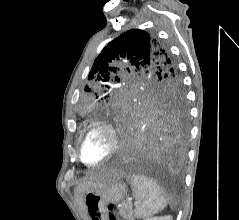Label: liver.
I'll use <instances>...</instances> for the list:
<instances>
[{
	"label": "liver",
	"mask_w": 239,
	"mask_h": 220,
	"mask_svg": "<svg viewBox=\"0 0 239 220\" xmlns=\"http://www.w3.org/2000/svg\"><path fill=\"white\" fill-rule=\"evenodd\" d=\"M124 176V172L120 170H114V171H109L105 174L98 175L96 177H90L89 179L84 180L82 183H80L75 190L76 194V199L81 207V209L84 210L83 206V195L97 187H102L103 185L109 183L112 180H120Z\"/></svg>",
	"instance_id": "6515ba94"
}]
</instances>
